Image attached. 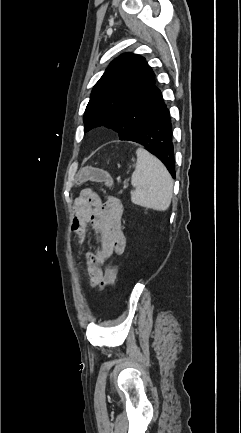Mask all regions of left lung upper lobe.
Segmentation results:
<instances>
[{
    "label": "left lung upper lobe",
    "mask_w": 241,
    "mask_h": 433,
    "mask_svg": "<svg viewBox=\"0 0 241 433\" xmlns=\"http://www.w3.org/2000/svg\"><path fill=\"white\" fill-rule=\"evenodd\" d=\"M164 100L155 74L142 56L124 53L111 62L94 86L84 113V131L105 125L120 140L142 129Z\"/></svg>",
    "instance_id": "5c2ea615"
}]
</instances>
